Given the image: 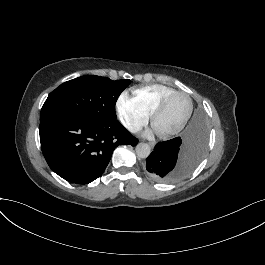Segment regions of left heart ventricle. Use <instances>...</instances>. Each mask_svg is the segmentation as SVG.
Listing matches in <instances>:
<instances>
[{"mask_svg": "<svg viewBox=\"0 0 265 265\" xmlns=\"http://www.w3.org/2000/svg\"><path fill=\"white\" fill-rule=\"evenodd\" d=\"M186 99L182 95L171 97L160 110L156 119V129L166 131L175 127L186 110Z\"/></svg>", "mask_w": 265, "mask_h": 265, "instance_id": "left-heart-ventricle-1", "label": "left heart ventricle"}]
</instances>
